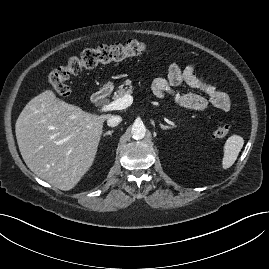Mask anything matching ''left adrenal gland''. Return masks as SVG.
I'll list each match as a JSON object with an SVG mask.
<instances>
[{"instance_id": "left-adrenal-gland-1", "label": "left adrenal gland", "mask_w": 269, "mask_h": 269, "mask_svg": "<svg viewBox=\"0 0 269 269\" xmlns=\"http://www.w3.org/2000/svg\"><path fill=\"white\" fill-rule=\"evenodd\" d=\"M160 127H161V129H163V130L173 129V128H174L173 126H166V125H163V124H161V123H160Z\"/></svg>"}]
</instances>
